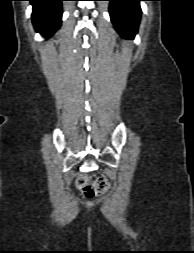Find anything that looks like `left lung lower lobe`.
I'll return each instance as SVG.
<instances>
[{
    "label": "left lung lower lobe",
    "mask_w": 194,
    "mask_h": 253,
    "mask_svg": "<svg viewBox=\"0 0 194 253\" xmlns=\"http://www.w3.org/2000/svg\"><path fill=\"white\" fill-rule=\"evenodd\" d=\"M110 1V17L116 31L125 38L134 37L140 23V1L146 0H106Z\"/></svg>",
    "instance_id": "1"
}]
</instances>
